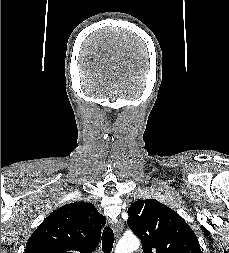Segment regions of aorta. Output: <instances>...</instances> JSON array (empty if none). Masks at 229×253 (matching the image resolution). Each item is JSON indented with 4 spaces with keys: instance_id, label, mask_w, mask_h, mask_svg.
<instances>
[{
    "instance_id": "1",
    "label": "aorta",
    "mask_w": 229,
    "mask_h": 253,
    "mask_svg": "<svg viewBox=\"0 0 229 253\" xmlns=\"http://www.w3.org/2000/svg\"><path fill=\"white\" fill-rule=\"evenodd\" d=\"M140 245V242L137 238H123L119 241L115 248V253H132Z\"/></svg>"
}]
</instances>
